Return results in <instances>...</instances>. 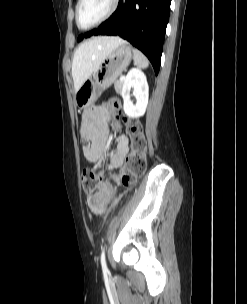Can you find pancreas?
Listing matches in <instances>:
<instances>
[{"label":"pancreas","instance_id":"cf45deb5","mask_svg":"<svg viewBox=\"0 0 247 304\" xmlns=\"http://www.w3.org/2000/svg\"><path fill=\"white\" fill-rule=\"evenodd\" d=\"M122 85H123V81L119 80L114 82V88L117 93H120Z\"/></svg>","mask_w":247,"mask_h":304}]
</instances>
